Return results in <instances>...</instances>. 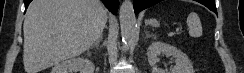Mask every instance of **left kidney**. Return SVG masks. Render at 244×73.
<instances>
[{
    "label": "left kidney",
    "instance_id": "obj_1",
    "mask_svg": "<svg viewBox=\"0 0 244 73\" xmlns=\"http://www.w3.org/2000/svg\"><path fill=\"white\" fill-rule=\"evenodd\" d=\"M161 53L175 58L176 65L169 73H194L193 65L185 53L173 45L160 41L153 42L147 49L148 62L153 73H165L163 69L157 67Z\"/></svg>",
    "mask_w": 244,
    "mask_h": 73
}]
</instances>
